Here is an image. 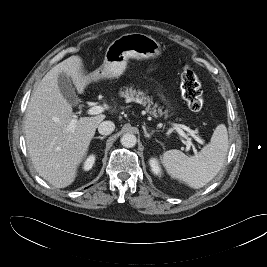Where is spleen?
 I'll list each match as a JSON object with an SVG mask.
<instances>
[{"label":"spleen","mask_w":267,"mask_h":267,"mask_svg":"<svg viewBox=\"0 0 267 267\" xmlns=\"http://www.w3.org/2000/svg\"><path fill=\"white\" fill-rule=\"evenodd\" d=\"M229 147L227 128L216 127L210 143L193 156L173 149L163 153L162 162L167 173L189 187L199 189L210 182L222 168Z\"/></svg>","instance_id":"3e777b00"}]
</instances>
